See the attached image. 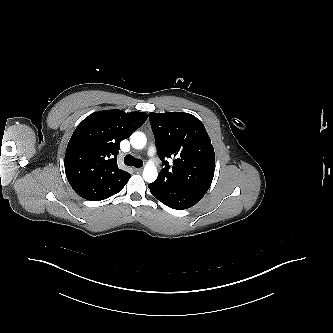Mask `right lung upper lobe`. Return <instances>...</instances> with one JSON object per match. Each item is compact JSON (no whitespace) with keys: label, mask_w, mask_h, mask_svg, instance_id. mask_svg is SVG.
Instances as JSON below:
<instances>
[{"label":"right lung upper lobe","mask_w":333,"mask_h":333,"mask_svg":"<svg viewBox=\"0 0 333 333\" xmlns=\"http://www.w3.org/2000/svg\"><path fill=\"white\" fill-rule=\"evenodd\" d=\"M147 118L145 112L104 110L77 126L66 149L65 173L79 196L100 201L123 189L131 175L118 168L120 142Z\"/></svg>","instance_id":"right-lung-upper-lobe-1"}]
</instances>
